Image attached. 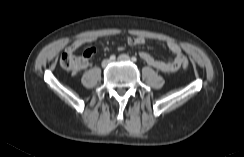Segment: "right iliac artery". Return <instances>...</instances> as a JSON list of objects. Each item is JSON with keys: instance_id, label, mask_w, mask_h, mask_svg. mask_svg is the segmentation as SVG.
Listing matches in <instances>:
<instances>
[{"instance_id": "1", "label": "right iliac artery", "mask_w": 244, "mask_h": 157, "mask_svg": "<svg viewBox=\"0 0 244 157\" xmlns=\"http://www.w3.org/2000/svg\"><path fill=\"white\" fill-rule=\"evenodd\" d=\"M115 58H116L115 55H111V56H110V60H112V61L115 60Z\"/></svg>"}]
</instances>
